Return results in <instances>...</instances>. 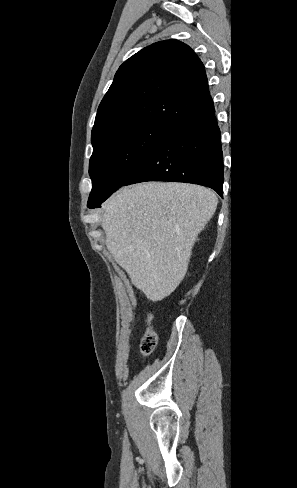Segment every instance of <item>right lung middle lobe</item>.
Wrapping results in <instances>:
<instances>
[{
    "label": "right lung middle lobe",
    "mask_w": 297,
    "mask_h": 488,
    "mask_svg": "<svg viewBox=\"0 0 297 488\" xmlns=\"http://www.w3.org/2000/svg\"><path fill=\"white\" fill-rule=\"evenodd\" d=\"M169 129L161 125L134 126L93 145L89 163L92 191L88 207H99L120 188Z\"/></svg>",
    "instance_id": "1"
}]
</instances>
